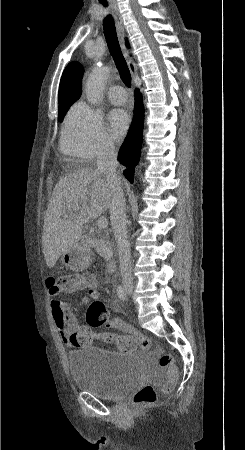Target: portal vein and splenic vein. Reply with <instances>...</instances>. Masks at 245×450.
I'll list each match as a JSON object with an SVG mask.
<instances>
[{"label":"portal vein and splenic vein","instance_id":"1","mask_svg":"<svg viewBox=\"0 0 245 450\" xmlns=\"http://www.w3.org/2000/svg\"><path fill=\"white\" fill-rule=\"evenodd\" d=\"M97 225H98V227L100 228V229H105L106 227H107V225H108V222H107V219L106 218H100L98 221H97Z\"/></svg>","mask_w":245,"mask_h":450}]
</instances>
